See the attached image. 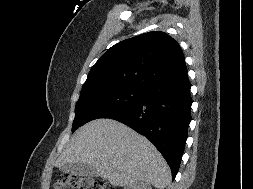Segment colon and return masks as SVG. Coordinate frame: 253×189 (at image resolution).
Wrapping results in <instances>:
<instances>
[{
	"label": "colon",
	"instance_id": "obj_1",
	"mask_svg": "<svg viewBox=\"0 0 253 189\" xmlns=\"http://www.w3.org/2000/svg\"><path fill=\"white\" fill-rule=\"evenodd\" d=\"M51 189H115L106 181L99 178L80 175L63 174L52 184Z\"/></svg>",
	"mask_w": 253,
	"mask_h": 189
}]
</instances>
